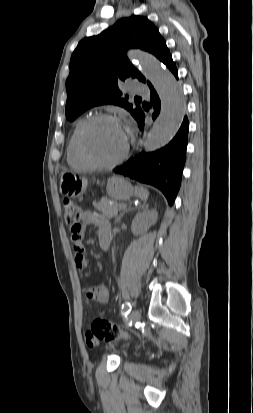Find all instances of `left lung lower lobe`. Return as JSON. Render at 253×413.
<instances>
[{
  "label": "left lung lower lobe",
  "mask_w": 253,
  "mask_h": 413,
  "mask_svg": "<svg viewBox=\"0 0 253 413\" xmlns=\"http://www.w3.org/2000/svg\"><path fill=\"white\" fill-rule=\"evenodd\" d=\"M165 65L178 79L177 68L172 57L168 58ZM149 87L152 103L149 107H153L152 118L155 119L160 113L161 102L153 86L150 84ZM144 119L145 114L142 110L136 118L140 129L144 126ZM188 128L189 122L185 118L179 131L168 145L152 153L142 152L122 166L116 167L114 172L156 186L172 205L180 188L186 159Z\"/></svg>",
  "instance_id": "1"
}]
</instances>
